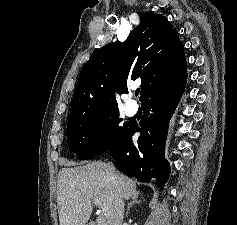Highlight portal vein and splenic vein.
Returning <instances> with one entry per match:
<instances>
[{
	"label": "portal vein and splenic vein",
	"instance_id": "portal-vein-and-splenic-vein-1",
	"mask_svg": "<svg viewBox=\"0 0 237 225\" xmlns=\"http://www.w3.org/2000/svg\"><path fill=\"white\" fill-rule=\"evenodd\" d=\"M94 202L97 207L101 208L102 210H106L104 205L98 199H94Z\"/></svg>",
	"mask_w": 237,
	"mask_h": 225
}]
</instances>
